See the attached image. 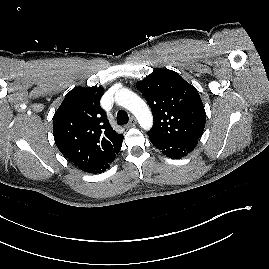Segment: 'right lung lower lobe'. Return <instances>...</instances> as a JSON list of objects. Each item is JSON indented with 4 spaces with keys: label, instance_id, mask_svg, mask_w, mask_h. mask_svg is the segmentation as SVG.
Wrapping results in <instances>:
<instances>
[{
    "label": "right lung lower lobe",
    "instance_id": "1",
    "mask_svg": "<svg viewBox=\"0 0 269 269\" xmlns=\"http://www.w3.org/2000/svg\"><path fill=\"white\" fill-rule=\"evenodd\" d=\"M121 144L112 152L110 153L106 158L103 160L93 164L88 169L84 170L85 172L96 174L105 171L107 168L110 167L111 162L115 159L116 155L119 153L121 149Z\"/></svg>",
    "mask_w": 269,
    "mask_h": 269
}]
</instances>
